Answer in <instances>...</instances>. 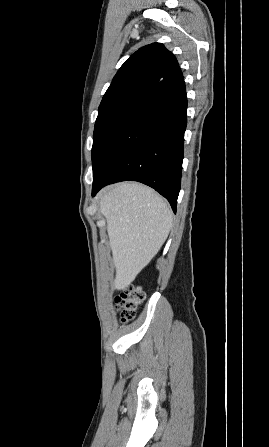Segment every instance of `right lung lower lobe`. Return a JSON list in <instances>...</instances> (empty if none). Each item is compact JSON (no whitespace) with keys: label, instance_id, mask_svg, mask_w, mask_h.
Instances as JSON below:
<instances>
[{"label":"right lung lower lobe","instance_id":"obj_1","mask_svg":"<svg viewBox=\"0 0 269 447\" xmlns=\"http://www.w3.org/2000/svg\"><path fill=\"white\" fill-rule=\"evenodd\" d=\"M186 110L185 83L181 80L130 113L93 162L92 196L107 184L139 181L163 195L176 212Z\"/></svg>","mask_w":269,"mask_h":447}]
</instances>
